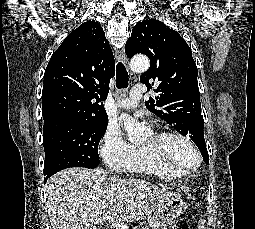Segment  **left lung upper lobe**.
<instances>
[{
    "label": "left lung upper lobe",
    "instance_id": "left-lung-upper-lobe-1",
    "mask_svg": "<svg viewBox=\"0 0 255 229\" xmlns=\"http://www.w3.org/2000/svg\"><path fill=\"white\" fill-rule=\"evenodd\" d=\"M125 52L128 57L142 53L150 59V68L141 75L140 81L148 89L155 87L157 96L145 102L146 108L180 134L189 136L208 164L198 70L188 44L175 30L149 19L133 27Z\"/></svg>",
    "mask_w": 255,
    "mask_h": 229
}]
</instances>
